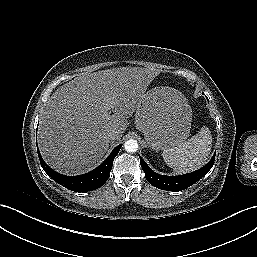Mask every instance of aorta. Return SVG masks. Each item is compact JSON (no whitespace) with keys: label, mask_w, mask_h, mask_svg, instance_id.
<instances>
[{"label":"aorta","mask_w":257,"mask_h":257,"mask_svg":"<svg viewBox=\"0 0 257 257\" xmlns=\"http://www.w3.org/2000/svg\"><path fill=\"white\" fill-rule=\"evenodd\" d=\"M124 148L127 152L134 153L138 150V142L135 139H129L125 142Z\"/></svg>","instance_id":"aorta-1"}]
</instances>
